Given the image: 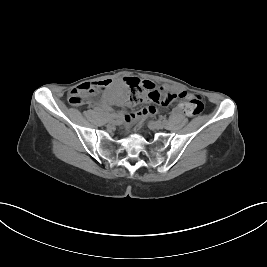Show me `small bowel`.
<instances>
[{"instance_id":"small-bowel-1","label":"small bowel","mask_w":267,"mask_h":267,"mask_svg":"<svg viewBox=\"0 0 267 267\" xmlns=\"http://www.w3.org/2000/svg\"><path fill=\"white\" fill-rule=\"evenodd\" d=\"M88 84H89L91 89L96 90V89H101L100 86L102 84H105V86L108 85V82L107 81H99V82H92V83H88ZM165 88L168 89V87H165ZM184 93H185L184 91L176 90L175 91V97H181ZM109 103H115V104L121 105V106L127 105L125 92L123 90L114 91L107 101H104L101 104L97 105V109L103 110V111H109L110 110ZM174 111L175 112L183 111V104L182 103L178 104V106L174 108ZM155 113H156V108L153 106H148V107L142 108L141 110H139L138 112H135V113L123 114L122 118L125 122L131 123L138 118L147 117V116L153 115Z\"/></svg>"}]
</instances>
